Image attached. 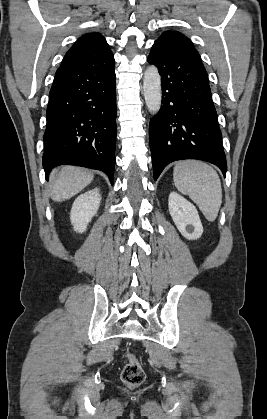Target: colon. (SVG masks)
Instances as JSON below:
<instances>
[{
    "label": "colon",
    "instance_id": "5ec220e1",
    "mask_svg": "<svg viewBox=\"0 0 267 419\" xmlns=\"http://www.w3.org/2000/svg\"><path fill=\"white\" fill-rule=\"evenodd\" d=\"M126 363L121 372L123 383L129 387L141 385L145 379V372L137 357L131 353L125 355Z\"/></svg>",
    "mask_w": 267,
    "mask_h": 419
}]
</instances>
